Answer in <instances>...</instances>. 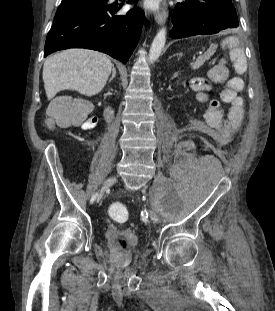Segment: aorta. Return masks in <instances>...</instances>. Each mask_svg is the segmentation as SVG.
Wrapping results in <instances>:
<instances>
[{
	"label": "aorta",
	"mask_w": 275,
	"mask_h": 311,
	"mask_svg": "<svg viewBox=\"0 0 275 311\" xmlns=\"http://www.w3.org/2000/svg\"><path fill=\"white\" fill-rule=\"evenodd\" d=\"M165 42H166V28H162L158 31L157 35L155 36L151 44L148 57L150 63L155 62L159 58L165 46Z\"/></svg>",
	"instance_id": "1"
}]
</instances>
